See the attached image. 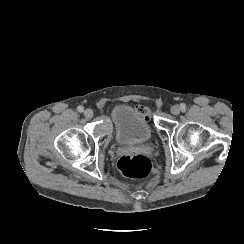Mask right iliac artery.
<instances>
[{"instance_id": "obj_1", "label": "right iliac artery", "mask_w": 244, "mask_h": 244, "mask_svg": "<svg viewBox=\"0 0 244 244\" xmlns=\"http://www.w3.org/2000/svg\"><path fill=\"white\" fill-rule=\"evenodd\" d=\"M77 111L80 112V113H82V112L84 111V107L81 106V105H79V106L77 107Z\"/></svg>"}]
</instances>
